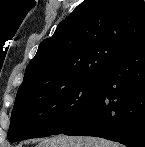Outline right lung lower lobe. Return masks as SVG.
I'll return each mask as SVG.
<instances>
[{
    "label": "right lung lower lobe",
    "instance_id": "obj_1",
    "mask_svg": "<svg viewBox=\"0 0 145 147\" xmlns=\"http://www.w3.org/2000/svg\"><path fill=\"white\" fill-rule=\"evenodd\" d=\"M101 76L96 96L63 134L145 147V37L124 51Z\"/></svg>",
    "mask_w": 145,
    "mask_h": 147
}]
</instances>
